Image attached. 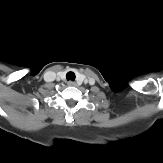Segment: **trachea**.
Returning <instances> with one entry per match:
<instances>
[{
	"label": "trachea",
	"instance_id": "trachea-1",
	"mask_svg": "<svg viewBox=\"0 0 163 163\" xmlns=\"http://www.w3.org/2000/svg\"><path fill=\"white\" fill-rule=\"evenodd\" d=\"M75 78H76V76H75V73L74 72H68L67 74H66V79L67 80H71V81H74L75 80Z\"/></svg>",
	"mask_w": 163,
	"mask_h": 163
}]
</instances>
